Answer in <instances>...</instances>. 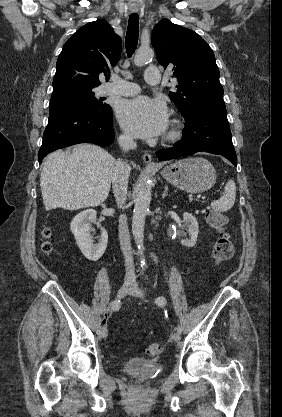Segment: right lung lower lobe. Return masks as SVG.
I'll return each mask as SVG.
<instances>
[{"label":"right lung lower lobe","instance_id":"right-lung-lower-lobe-1","mask_svg":"<svg viewBox=\"0 0 282 417\" xmlns=\"http://www.w3.org/2000/svg\"><path fill=\"white\" fill-rule=\"evenodd\" d=\"M113 114L108 105L95 107L69 106L50 113L38 153L39 163L50 152L78 143L107 146L114 140Z\"/></svg>","mask_w":282,"mask_h":417}]
</instances>
